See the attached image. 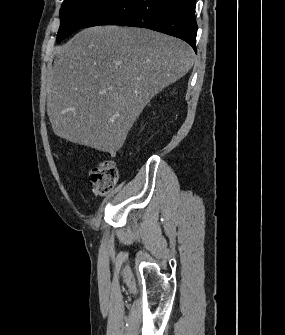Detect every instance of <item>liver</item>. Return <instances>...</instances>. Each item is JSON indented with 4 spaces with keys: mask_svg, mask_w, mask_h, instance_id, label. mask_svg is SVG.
Listing matches in <instances>:
<instances>
[{
    "mask_svg": "<svg viewBox=\"0 0 285 335\" xmlns=\"http://www.w3.org/2000/svg\"><path fill=\"white\" fill-rule=\"evenodd\" d=\"M54 50L46 88L53 132L100 152H118L148 102L194 62L188 44L144 28H87Z\"/></svg>",
    "mask_w": 285,
    "mask_h": 335,
    "instance_id": "liver-1",
    "label": "liver"
}]
</instances>
